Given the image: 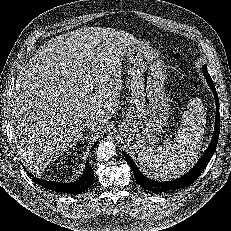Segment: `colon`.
I'll return each instance as SVG.
<instances>
[{"mask_svg": "<svg viewBox=\"0 0 231 231\" xmlns=\"http://www.w3.org/2000/svg\"><path fill=\"white\" fill-rule=\"evenodd\" d=\"M181 57V53L179 51H174L173 58L177 59Z\"/></svg>", "mask_w": 231, "mask_h": 231, "instance_id": "1", "label": "colon"}]
</instances>
